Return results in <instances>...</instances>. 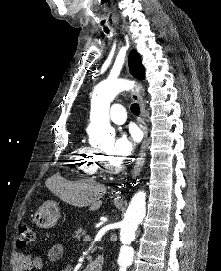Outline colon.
Here are the masks:
<instances>
[{
  "label": "colon",
  "mask_w": 221,
  "mask_h": 271,
  "mask_svg": "<svg viewBox=\"0 0 221 271\" xmlns=\"http://www.w3.org/2000/svg\"><path fill=\"white\" fill-rule=\"evenodd\" d=\"M38 242V238L34 228L25 223L19 225L18 236L16 239V248L19 251L26 250L29 246H33Z\"/></svg>",
  "instance_id": "obj_1"
}]
</instances>
